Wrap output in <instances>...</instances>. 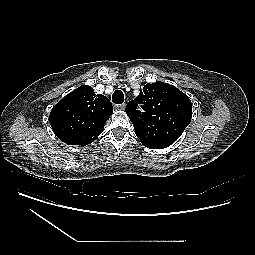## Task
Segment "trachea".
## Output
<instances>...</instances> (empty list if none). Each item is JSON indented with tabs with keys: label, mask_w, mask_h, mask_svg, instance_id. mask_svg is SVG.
Masks as SVG:
<instances>
[{
	"label": "trachea",
	"mask_w": 255,
	"mask_h": 255,
	"mask_svg": "<svg viewBox=\"0 0 255 255\" xmlns=\"http://www.w3.org/2000/svg\"><path fill=\"white\" fill-rule=\"evenodd\" d=\"M112 102L122 104L124 102V94L121 90H116L112 95Z\"/></svg>",
	"instance_id": "1"
}]
</instances>
